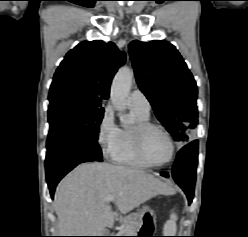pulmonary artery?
Wrapping results in <instances>:
<instances>
[{"mask_svg": "<svg viewBox=\"0 0 248 237\" xmlns=\"http://www.w3.org/2000/svg\"><path fill=\"white\" fill-rule=\"evenodd\" d=\"M129 105L135 109H138L144 113H150L151 105L148 98L142 91L136 89L131 92L129 96Z\"/></svg>", "mask_w": 248, "mask_h": 237, "instance_id": "pulmonary-artery-1", "label": "pulmonary artery"}]
</instances>
